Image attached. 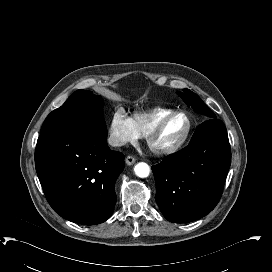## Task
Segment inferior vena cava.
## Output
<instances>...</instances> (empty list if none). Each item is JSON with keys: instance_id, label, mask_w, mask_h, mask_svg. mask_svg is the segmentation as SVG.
I'll use <instances>...</instances> for the list:
<instances>
[{"instance_id": "602c4592", "label": "inferior vena cava", "mask_w": 272, "mask_h": 272, "mask_svg": "<svg viewBox=\"0 0 272 272\" xmlns=\"http://www.w3.org/2000/svg\"><path fill=\"white\" fill-rule=\"evenodd\" d=\"M108 143L109 145H111L112 147H120L125 145V140L117 135H110V137L108 138Z\"/></svg>"}]
</instances>
